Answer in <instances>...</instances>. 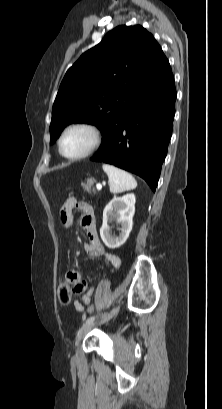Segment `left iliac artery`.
I'll return each instance as SVG.
<instances>
[{
	"instance_id": "44dca946",
	"label": "left iliac artery",
	"mask_w": 222,
	"mask_h": 409,
	"mask_svg": "<svg viewBox=\"0 0 222 409\" xmlns=\"http://www.w3.org/2000/svg\"><path fill=\"white\" fill-rule=\"evenodd\" d=\"M110 304H111V301L109 302L108 306H109ZM97 317H98V315L89 317V318L86 320L85 324H89V323L94 322V320H95Z\"/></svg>"
}]
</instances>
